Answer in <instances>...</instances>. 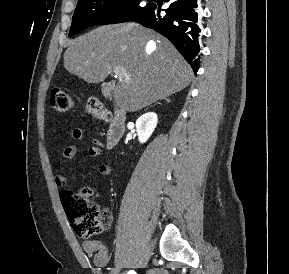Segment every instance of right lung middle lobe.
I'll return each instance as SVG.
<instances>
[{"label":"right lung middle lobe","instance_id":"right-lung-middle-lobe-1","mask_svg":"<svg viewBox=\"0 0 289 274\" xmlns=\"http://www.w3.org/2000/svg\"><path fill=\"white\" fill-rule=\"evenodd\" d=\"M149 5H142L141 0H78L69 36L92 25L135 20Z\"/></svg>","mask_w":289,"mask_h":274}]
</instances>
